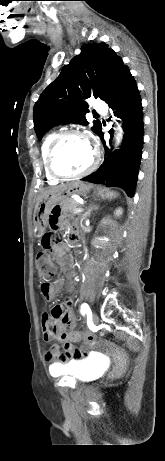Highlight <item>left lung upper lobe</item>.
Here are the masks:
<instances>
[{
  "instance_id": "5c2ea615",
  "label": "left lung upper lobe",
  "mask_w": 165,
  "mask_h": 461,
  "mask_svg": "<svg viewBox=\"0 0 165 461\" xmlns=\"http://www.w3.org/2000/svg\"><path fill=\"white\" fill-rule=\"evenodd\" d=\"M128 67L104 42L83 45L60 75L40 95L34 105V128L41 138L51 127L65 123L87 125L89 111L85 99L94 96L106 100ZM97 135L99 121L91 128Z\"/></svg>"
}]
</instances>
